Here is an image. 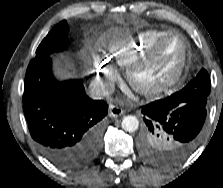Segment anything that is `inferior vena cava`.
<instances>
[{
  "mask_svg": "<svg viewBox=\"0 0 223 188\" xmlns=\"http://www.w3.org/2000/svg\"><path fill=\"white\" fill-rule=\"evenodd\" d=\"M115 90V86L110 81L93 80L89 85L90 97L94 100L109 96Z\"/></svg>",
  "mask_w": 223,
  "mask_h": 188,
  "instance_id": "1",
  "label": "inferior vena cava"
}]
</instances>
